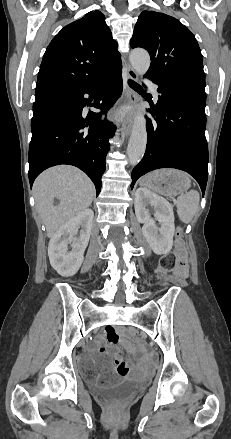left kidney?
Wrapping results in <instances>:
<instances>
[{"mask_svg": "<svg viewBox=\"0 0 231 439\" xmlns=\"http://www.w3.org/2000/svg\"><path fill=\"white\" fill-rule=\"evenodd\" d=\"M148 205L154 208V216L160 227H157L155 220L151 218L147 209ZM134 206L138 222L144 224L142 227L143 236L153 252L157 255L169 253L173 246L175 231L171 205L164 198L140 187L135 192Z\"/></svg>", "mask_w": 231, "mask_h": 439, "instance_id": "5707ae66", "label": "left kidney"}]
</instances>
